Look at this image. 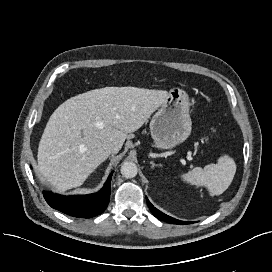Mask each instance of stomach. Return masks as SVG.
I'll return each mask as SVG.
<instances>
[{
    "mask_svg": "<svg viewBox=\"0 0 272 272\" xmlns=\"http://www.w3.org/2000/svg\"><path fill=\"white\" fill-rule=\"evenodd\" d=\"M189 107L187 93L180 88H172L150 121L154 147L171 149L189 137L192 129Z\"/></svg>",
    "mask_w": 272,
    "mask_h": 272,
    "instance_id": "obj_1",
    "label": "stomach"
}]
</instances>
